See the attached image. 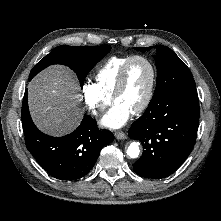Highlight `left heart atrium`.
Instances as JSON below:
<instances>
[{
  "mask_svg": "<svg viewBox=\"0 0 221 221\" xmlns=\"http://www.w3.org/2000/svg\"><path fill=\"white\" fill-rule=\"evenodd\" d=\"M132 112L121 104L116 103L102 118L103 126L116 129L122 127L130 118Z\"/></svg>",
  "mask_w": 221,
  "mask_h": 221,
  "instance_id": "39dd6f15",
  "label": "left heart atrium"
}]
</instances>
